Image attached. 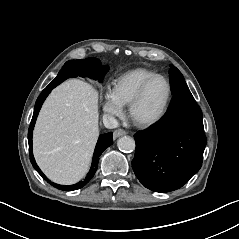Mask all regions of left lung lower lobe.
<instances>
[{
	"mask_svg": "<svg viewBox=\"0 0 239 239\" xmlns=\"http://www.w3.org/2000/svg\"><path fill=\"white\" fill-rule=\"evenodd\" d=\"M134 137L132 168L152 191L179 189L202 166L207 139L201 109L189 89L175 92L161 121Z\"/></svg>",
	"mask_w": 239,
	"mask_h": 239,
	"instance_id": "obj_1",
	"label": "left lung lower lobe"
}]
</instances>
